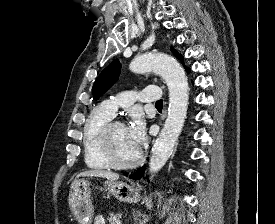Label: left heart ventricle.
<instances>
[{
	"label": "left heart ventricle",
	"mask_w": 275,
	"mask_h": 224,
	"mask_svg": "<svg viewBox=\"0 0 275 224\" xmlns=\"http://www.w3.org/2000/svg\"><path fill=\"white\" fill-rule=\"evenodd\" d=\"M110 137L114 154L119 161H131L137 156L139 149L130 140L124 125H115Z\"/></svg>",
	"instance_id": "left-heart-ventricle-1"
}]
</instances>
